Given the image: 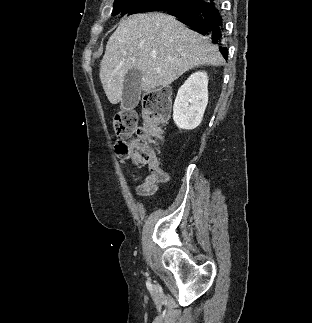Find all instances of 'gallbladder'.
<instances>
[{
  "label": "gallbladder",
  "mask_w": 312,
  "mask_h": 323,
  "mask_svg": "<svg viewBox=\"0 0 312 323\" xmlns=\"http://www.w3.org/2000/svg\"><path fill=\"white\" fill-rule=\"evenodd\" d=\"M142 72L132 68L125 76L122 90L123 108H135L140 100Z\"/></svg>",
  "instance_id": "obj_1"
}]
</instances>
